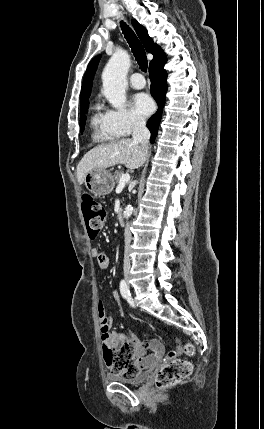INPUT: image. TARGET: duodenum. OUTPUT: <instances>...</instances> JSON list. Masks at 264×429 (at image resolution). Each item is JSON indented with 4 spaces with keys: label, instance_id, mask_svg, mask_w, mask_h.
Listing matches in <instances>:
<instances>
[{
    "label": "duodenum",
    "instance_id": "duodenum-1",
    "mask_svg": "<svg viewBox=\"0 0 264 429\" xmlns=\"http://www.w3.org/2000/svg\"><path fill=\"white\" fill-rule=\"evenodd\" d=\"M117 217L120 223H124V216L122 213H119Z\"/></svg>",
    "mask_w": 264,
    "mask_h": 429
}]
</instances>
